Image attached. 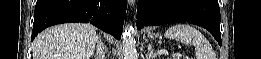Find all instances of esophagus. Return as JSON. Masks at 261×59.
<instances>
[{"label": "esophagus", "mask_w": 261, "mask_h": 59, "mask_svg": "<svg viewBox=\"0 0 261 59\" xmlns=\"http://www.w3.org/2000/svg\"><path fill=\"white\" fill-rule=\"evenodd\" d=\"M128 3L130 6H134L135 5V0H128Z\"/></svg>", "instance_id": "1"}]
</instances>
